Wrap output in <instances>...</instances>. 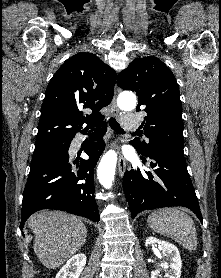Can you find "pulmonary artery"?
<instances>
[{"label": "pulmonary artery", "instance_id": "obj_1", "mask_svg": "<svg viewBox=\"0 0 221 278\" xmlns=\"http://www.w3.org/2000/svg\"><path fill=\"white\" fill-rule=\"evenodd\" d=\"M120 122L123 128L125 129H133L137 125V119L135 115L125 114L120 117Z\"/></svg>", "mask_w": 221, "mask_h": 278}]
</instances>
